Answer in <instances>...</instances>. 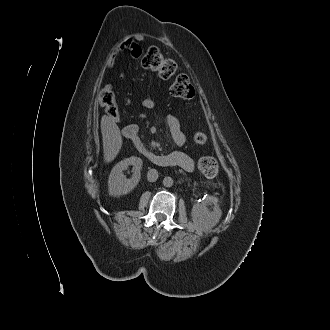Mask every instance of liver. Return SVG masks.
Listing matches in <instances>:
<instances>
[{
  "mask_svg": "<svg viewBox=\"0 0 330 330\" xmlns=\"http://www.w3.org/2000/svg\"><path fill=\"white\" fill-rule=\"evenodd\" d=\"M101 132L103 137L104 160L111 162L118 155L122 146V136L117 124L108 116L101 119Z\"/></svg>",
  "mask_w": 330,
  "mask_h": 330,
  "instance_id": "obj_1",
  "label": "liver"
}]
</instances>
